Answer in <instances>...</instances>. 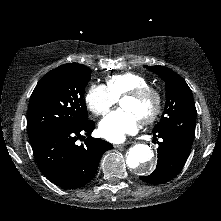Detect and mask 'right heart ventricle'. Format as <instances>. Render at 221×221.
<instances>
[{
    "label": "right heart ventricle",
    "instance_id": "right-heart-ventricle-1",
    "mask_svg": "<svg viewBox=\"0 0 221 221\" xmlns=\"http://www.w3.org/2000/svg\"><path fill=\"white\" fill-rule=\"evenodd\" d=\"M145 86H149L147 78L135 72L114 74L106 79V88L116 99L129 91Z\"/></svg>",
    "mask_w": 221,
    "mask_h": 221
}]
</instances>
